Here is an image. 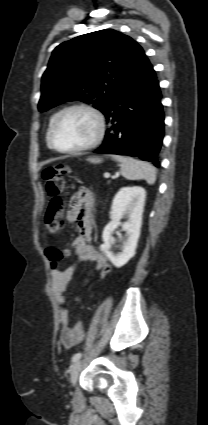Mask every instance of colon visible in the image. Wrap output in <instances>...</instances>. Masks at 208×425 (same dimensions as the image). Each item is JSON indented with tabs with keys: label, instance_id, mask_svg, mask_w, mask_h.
<instances>
[{
	"label": "colon",
	"instance_id": "1",
	"mask_svg": "<svg viewBox=\"0 0 208 425\" xmlns=\"http://www.w3.org/2000/svg\"><path fill=\"white\" fill-rule=\"evenodd\" d=\"M69 172L68 166L59 164L45 168L42 173L46 190L51 197L45 214V225L47 232L52 235L58 233L63 225L62 193L65 189V177ZM46 255L51 261L52 269H57L64 256L70 255V252L51 247L46 250ZM109 272L110 267L105 266L99 271V277L104 279Z\"/></svg>",
	"mask_w": 208,
	"mask_h": 425
}]
</instances>
